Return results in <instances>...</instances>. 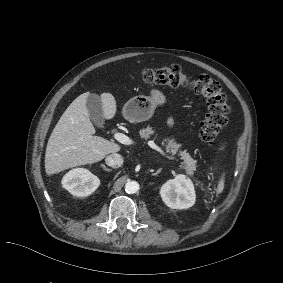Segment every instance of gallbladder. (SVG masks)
<instances>
[{
	"mask_svg": "<svg viewBox=\"0 0 283 283\" xmlns=\"http://www.w3.org/2000/svg\"><path fill=\"white\" fill-rule=\"evenodd\" d=\"M86 109L89 118L94 123V125L99 129H103L106 125V119L102 99L98 94H88V97L86 98Z\"/></svg>",
	"mask_w": 283,
	"mask_h": 283,
	"instance_id": "1",
	"label": "gallbladder"
}]
</instances>
